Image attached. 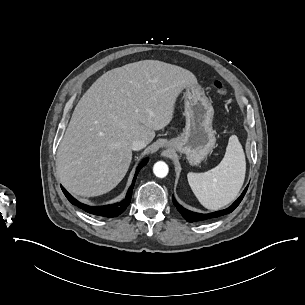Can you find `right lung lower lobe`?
Instances as JSON below:
<instances>
[{
	"instance_id": "obj_1",
	"label": "right lung lower lobe",
	"mask_w": 305,
	"mask_h": 305,
	"mask_svg": "<svg viewBox=\"0 0 305 305\" xmlns=\"http://www.w3.org/2000/svg\"><path fill=\"white\" fill-rule=\"evenodd\" d=\"M148 162V159H144L138 166L132 185L129 188L126 198L124 200H122L121 202L112 204V205H105V206H99V207H91L85 204L80 203L79 201H77L75 198H73L63 187L62 190L65 194V196L67 197V199L73 204L78 206L79 208L85 210L88 213L91 214H95V215H99V216H105V217H115L120 215L121 213H123L125 211V209L127 208V206L130 204V200H131V196H132V190L135 184V180L137 177L138 172L140 171V169L146 165Z\"/></svg>"
}]
</instances>
